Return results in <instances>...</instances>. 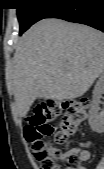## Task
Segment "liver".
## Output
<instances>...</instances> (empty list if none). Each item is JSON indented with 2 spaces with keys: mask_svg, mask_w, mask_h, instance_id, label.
<instances>
[{
  "mask_svg": "<svg viewBox=\"0 0 104 169\" xmlns=\"http://www.w3.org/2000/svg\"><path fill=\"white\" fill-rule=\"evenodd\" d=\"M104 70V34L61 19H43L17 45L9 75L19 114L39 99L82 96Z\"/></svg>",
  "mask_w": 104,
  "mask_h": 169,
  "instance_id": "6515ba94",
  "label": "liver"
}]
</instances>
